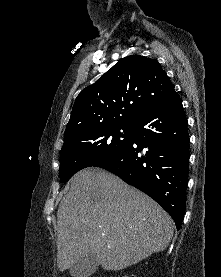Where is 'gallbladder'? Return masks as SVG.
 <instances>
[{"label":"gallbladder","instance_id":"bac80fb5","mask_svg":"<svg viewBox=\"0 0 221 277\" xmlns=\"http://www.w3.org/2000/svg\"><path fill=\"white\" fill-rule=\"evenodd\" d=\"M99 266V263L93 254L81 257L73 266L70 267L72 277H89Z\"/></svg>","mask_w":221,"mask_h":277}]
</instances>
